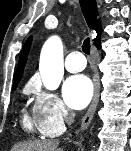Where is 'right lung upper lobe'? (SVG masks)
<instances>
[{"label": "right lung upper lobe", "mask_w": 131, "mask_h": 151, "mask_svg": "<svg viewBox=\"0 0 131 151\" xmlns=\"http://www.w3.org/2000/svg\"><path fill=\"white\" fill-rule=\"evenodd\" d=\"M80 6L89 28L94 29L97 33V37L94 39V44L100 43L101 26L99 21L96 19L97 9H96L95 0H80ZM31 41H32V37H30L26 41L22 53L20 55L13 88H16L17 84L19 83L23 75V69L27 61V56L30 49Z\"/></svg>", "instance_id": "cb5924a9"}]
</instances>
